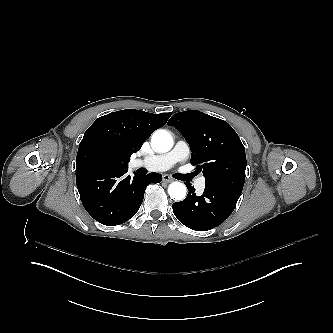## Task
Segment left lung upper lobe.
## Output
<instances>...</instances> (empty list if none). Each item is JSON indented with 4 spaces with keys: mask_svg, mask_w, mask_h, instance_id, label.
I'll use <instances>...</instances> for the list:
<instances>
[{
    "mask_svg": "<svg viewBox=\"0 0 333 333\" xmlns=\"http://www.w3.org/2000/svg\"><path fill=\"white\" fill-rule=\"evenodd\" d=\"M168 124L179 130L189 143L191 164L203 173L205 185L243 189L245 148L226 121L190 110L174 114Z\"/></svg>",
    "mask_w": 333,
    "mask_h": 333,
    "instance_id": "obj_1",
    "label": "left lung upper lobe"
}]
</instances>
